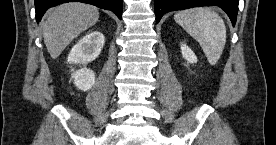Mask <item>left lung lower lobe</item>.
<instances>
[{"label":"left lung lower lobe","mask_w":276,"mask_h":145,"mask_svg":"<svg viewBox=\"0 0 276 145\" xmlns=\"http://www.w3.org/2000/svg\"><path fill=\"white\" fill-rule=\"evenodd\" d=\"M239 0H155L156 23L170 11L183 10L191 7L216 5L221 7L235 26Z\"/></svg>","instance_id":"1"}]
</instances>
